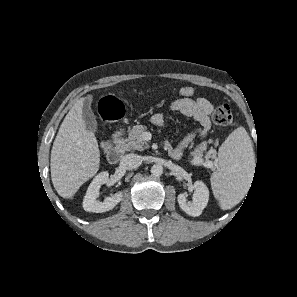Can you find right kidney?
Masks as SVG:
<instances>
[{"label":"right kidney","instance_id":"ca27d5eb","mask_svg":"<svg viewBox=\"0 0 297 297\" xmlns=\"http://www.w3.org/2000/svg\"><path fill=\"white\" fill-rule=\"evenodd\" d=\"M109 178L108 172H101L89 185L86 195L83 199V208L87 212L103 213L112 210L118 203L122 201L123 193L117 192L111 197H107L104 201L97 200L99 190L102 184L107 183Z\"/></svg>","mask_w":297,"mask_h":297}]
</instances>
